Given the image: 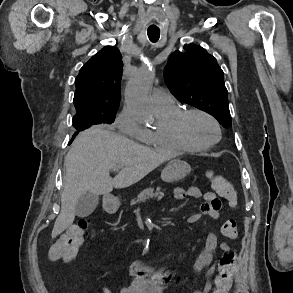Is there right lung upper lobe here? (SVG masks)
<instances>
[{"instance_id": "1", "label": "right lung upper lobe", "mask_w": 293, "mask_h": 293, "mask_svg": "<svg viewBox=\"0 0 293 293\" xmlns=\"http://www.w3.org/2000/svg\"><path fill=\"white\" fill-rule=\"evenodd\" d=\"M122 68V55L116 47L101 49L80 69L75 79V108L95 112L116 111Z\"/></svg>"}]
</instances>
